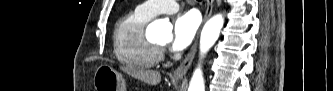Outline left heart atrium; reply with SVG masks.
<instances>
[{
    "instance_id": "left-heart-atrium-1",
    "label": "left heart atrium",
    "mask_w": 333,
    "mask_h": 91,
    "mask_svg": "<svg viewBox=\"0 0 333 91\" xmlns=\"http://www.w3.org/2000/svg\"><path fill=\"white\" fill-rule=\"evenodd\" d=\"M199 23V17L194 12H187L178 16L173 24L171 49L182 51L187 48L197 33Z\"/></svg>"
}]
</instances>
